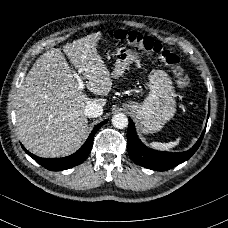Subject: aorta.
Instances as JSON below:
<instances>
[{"label": "aorta", "mask_w": 228, "mask_h": 228, "mask_svg": "<svg viewBox=\"0 0 228 228\" xmlns=\"http://www.w3.org/2000/svg\"><path fill=\"white\" fill-rule=\"evenodd\" d=\"M112 125L118 129H124L128 126V118L124 113H118L112 117Z\"/></svg>", "instance_id": "obj_1"}]
</instances>
